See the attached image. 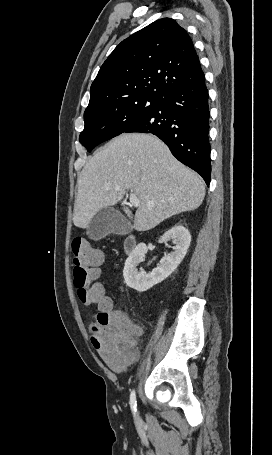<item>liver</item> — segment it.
Instances as JSON below:
<instances>
[{
  "instance_id": "1",
  "label": "liver",
  "mask_w": 272,
  "mask_h": 455,
  "mask_svg": "<svg viewBox=\"0 0 272 455\" xmlns=\"http://www.w3.org/2000/svg\"><path fill=\"white\" fill-rule=\"evenodd\" d=\"M73 222L87 228L104 207L121 202L131 191L140 201L133 228L147 231L167 218L197 209L203 202L202 179L171 154L156 136L144 133L121 134L91 157L77 180Z\"/></svg>"
}]
</instances>
